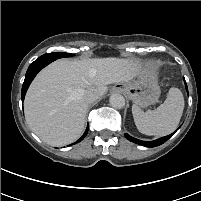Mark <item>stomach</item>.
<instances>
[{"instance_id":"0dacf381","label":"stomach","mask_w":201,"mask_h":201,"mask_svg":"<svg viewBox=\"0 0 201 201\" xmlns=\"http://www.w3.org/2000/svg\"><path fill=\"white\" fill-rule=\"evenodd\" d=\"M118 89L139 108L154 104L160 96L156 68L146 65L136 79L122 83Z\"/></svg>"}]
</instances>
